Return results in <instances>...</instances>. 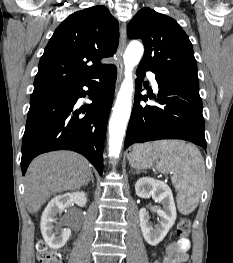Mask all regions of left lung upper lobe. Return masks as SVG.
Wrapping results in <instances>:
<instances>
[{
    "instance_id": "5c2ea615",
    "label": "left lung upper lobe",
    "mask_w": 233,
    "mask_h": 263,
    "mask_svg": "<svg viewBox=\"0 0 233 263\" xmlns=\"http://www.w3.org/2000/svg\"><path fill=\"white\" fill-rule=\"evenodd\" d=\"M127 34L130 39L143 40L145 53L140 66L164 78L198 83L192 44L174 19L142 8L128 24Z\"/></svg>"
}]
</instances>
